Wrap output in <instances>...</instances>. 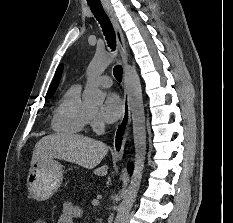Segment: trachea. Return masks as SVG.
I'll return each mask as SVG.
<instances>
[{
  "instance_id": "1",
  "label": "trachea",
  "mask_w": 233,
  "mask_h": 223,
  "mask_svg": "<svg viewBox=\"0 0 233 223\" xmlns=\"http://www.w3.org/2000/svg\"><path fill=\"white\" fill-rule=\"evenodd\" d=\"M89 7L92 10V13L94 14L95 18L100 23L102 30L104 32V35L106 37L108 46L114 50L116 47V41H115V32L112 26V23L110 22L108 16L104 12L101 3H91L89 4ZM113 75L118 80V82H121L122 80V67L121 65H116L113 69Z\"/></svg>"
}]
</instances>
